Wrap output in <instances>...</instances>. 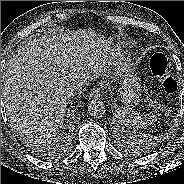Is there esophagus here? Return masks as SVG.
<instances>
[{"label":"esophagus","mask_w":184,"mask_h":184,"mask_svg":"<svg viewBox=\"0 0 184 184\" xmlns=\"http://www.w3.org/2000/svg\"><path fill=\"white\" fill-rule=\"evenodd\" d=\"M99 96H100V94L97 92L96 95H95V97L98 98Z\"/></svg>","instance_id":"esophagus-1"}]
</instances>
